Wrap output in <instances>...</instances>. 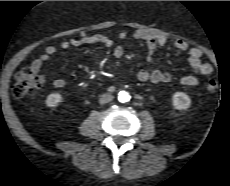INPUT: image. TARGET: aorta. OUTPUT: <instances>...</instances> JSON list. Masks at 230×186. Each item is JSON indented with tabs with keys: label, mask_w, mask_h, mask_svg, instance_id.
<instances>
[{
	"label": "aorta",
	"mask_w": 230,
	"mask_h": 186,
	"mask_svg": "<svg viewBox=\"0 0 230 186\" xmlns=\"http://www.w3.org/2000/svg\"><path fill=\"white\" fill-rule=\"evenodd\" d=\"M118 100H119V102H121V103H126V102H128V101L130 100V95H129V93L126 92V91H120V92L118 93Z\"/></svg>",
	"instance_id": "1"
}]
</instances>
